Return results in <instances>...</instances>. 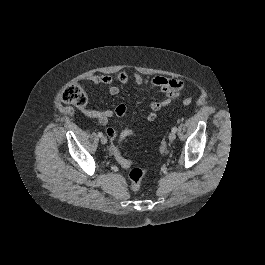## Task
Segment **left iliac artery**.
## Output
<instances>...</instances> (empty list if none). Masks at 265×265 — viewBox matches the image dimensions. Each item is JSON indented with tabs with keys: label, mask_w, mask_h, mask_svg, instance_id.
<instances>
[{
	"label": "left iliac artery",
	"mask_w": 265,
	"mask_h": 265,
	"mask_svg": "<svg viewBox=\"0 0 265 265\" xmlns=\"http://www.w3.org/2000/svg\"><path fill=\"white\" fill-rule=\"evenodd\" d=\"M176 131H177V127L174 126V127L172 128V132L175 133Z\"/></svg>",
	"instance_id": "left-iliac-artery-1"
}]
</instances>
